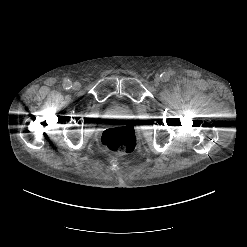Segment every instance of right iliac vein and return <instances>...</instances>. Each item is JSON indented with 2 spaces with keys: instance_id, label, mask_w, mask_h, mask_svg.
<instances>
[{
  "instance_id": "obj_1",
  "label": "right iliac vein",
  "mask_w": 247,
  "mask_h": 247,
  "mask_svg": "<svg viewBox=\"0 0 247 247\" xmlns=\"http://www.w3.org/2000/svg\"><path fill=\"white\" fill-rule=\"evenodd\" d=\"M81 88V84L79 82H74L73 83V89L74 90H79Z\"/></svg>"
}]
</instances>
